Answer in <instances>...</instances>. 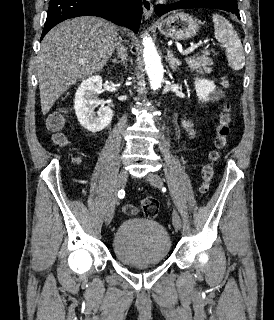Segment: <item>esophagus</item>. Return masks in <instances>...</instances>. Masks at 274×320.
<instances>
[{"label": "esophagus", "instance_id": "obj_1", "mask_svg": "<svg viewBox=\"0 0 274 320\" xmlns=\"http://www.w3.org/2000/svg\"><path fill=\"white\" fill-rule=\"evenodd\" d=\"M143 14L145 18H150L153 14V3L152 0H142Z\"/></svg>", "mask_w": 274, "mask_h": 320}]
</instances>
